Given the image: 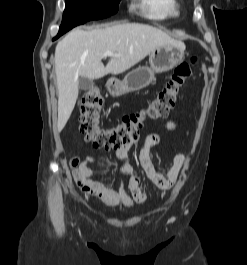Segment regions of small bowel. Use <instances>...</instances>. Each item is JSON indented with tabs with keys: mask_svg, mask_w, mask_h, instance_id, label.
<instances>
[{
	"mask_svg": "<svg viewBox=\"0 0 247 265\" xmlns=\"http://www.w3.org/2000/svg\"><path fill=\"white\" fill-rule=\"evenodd\" d=\"M164 126L168 130L176 128V124L173 121H168ZM137 140L138 138L117 150V156L122 163L121 172L123 175L130 177L127 189L124 187L122 181L119 182L118 189L115 190L94 179L91 170L87 167L88 163L94 162L93 156H88L83 164L73 171L75 183L84 193L99 198L108 206L115 207L122 205L131 208L135 205L143 204L146 201V194L141 188V177L136 173L134 167L126 161L131 144ZM161 140L159 134H149L145 138L139 152V162L147 179L162 191H168L178 179L185 161V155L181 151H177L173 164L167 171V174L163 175L157 172L150 159V148L159 144Z\"/></svg>",
	"mask_w": 247,
	"mask_h": 265,
	"instance_id": "obj_1",
	"label": "small bowel"
}]
</instances>
